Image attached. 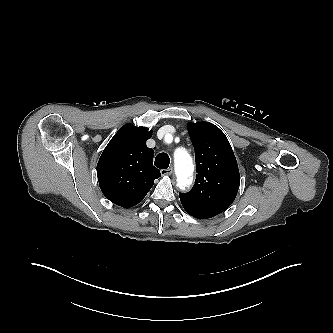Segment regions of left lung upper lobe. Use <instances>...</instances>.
Listing matches in <instances>:
<instances>
[{"label": "left lung upper lobe", "instance_id": "obj_1", "mask_svg": "<svg viewBox=\"0 0 333 333\" xmlns=\"http://www.w3.org/2000/svg\"><path fill=\"white\" fill-rule=\"evenodd\" d=\"M197 177L188 193H179L184 209L215 216L234 201L240 185L237 161L225 134L209 122L189 123Z\"/></svg>", "mask_w": 333, "mask_h": 333}]
</instances>
